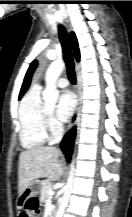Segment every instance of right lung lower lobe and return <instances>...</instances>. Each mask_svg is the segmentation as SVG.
I'll list each match as a JSON object with an SVG mask.
<instances>
[{"label": "right lung lower lobe", "mask_w": 132, "mask_h": 217, "mask_svg": "<svg viewBox=\"0 0 132 217\" xmlns=\"http://www.w3.org/2000/svg\"><path fill=\"white\" fill-rule=\"evenodd\" d=\"M75 139V128H73L68 134L65 136L62 141L61 148L66 155L67 161H70V157L72 154L73 143Z\"/></svg>", "instance_id": "right-lung-lower-lobe-1"}]
</instances>
